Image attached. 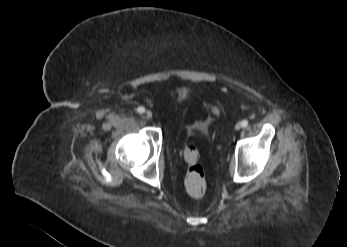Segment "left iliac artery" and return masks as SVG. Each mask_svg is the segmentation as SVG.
<instances>
[{
	"label": "left iliac artery",
	"instance_id": "1",
	"mask_svg": "<svg viewBox=\"0 0 347 247\" xmlns=\"http://www.w3.org/2000/svg\"><path fill=\"white\" fill-rule=\"evenodd\" d=\"M241 125H242V127H247L248 126V120H243L242 122H241Z\"/></svg>",
	"mask_w": 347,
	"mask_h": 247
}]
</instances>
